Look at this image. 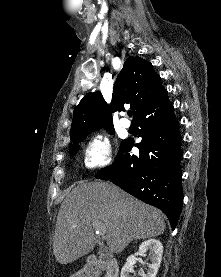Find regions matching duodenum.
Instances as JSON below:
<instances>
[{"mask_svg":"<svg viewBox=\"0 0 221 277\" xmlns=\"http://www.w3.org/2000/svg\"><path fill=\"white\" fill-rule=\"evenodd\" d=\"M105 271L106 277H119V265L116 259L101 260L90 257L81 273L82 277H99L100 272Z\"/></svg>","mask_w":221,"mask_h":277,"instance_id":"duodenum-1","label":"duodenum"}]
</instances>
